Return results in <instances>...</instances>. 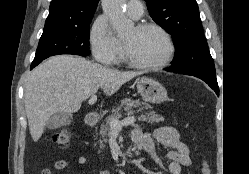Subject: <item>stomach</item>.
Wrapping results in <instances>:
<instances>
[{"label": "stomach", "instance_id": "stomach-1", "mask_svg": "<svg viewBox=\"0 0 249 174\" xmlns=\"http://www.w3.org/2000/svg\"><path fill=\"white\" fill-rule=\"evenodd\" d=\"M137 89L143 99L153 104H159L167 99V91L154 79L143 77L137 81Z\"/></svg>", "mask_w": 249, "mask_h": 174}]
</instances>
